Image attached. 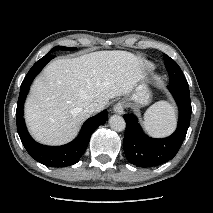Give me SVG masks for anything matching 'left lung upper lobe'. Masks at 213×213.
I'll return each instance as SVG.
<instances>
[{"mask_svg": "<svg viewBox=\"0 0 213 213\" xmlns=\"http://www.w3.org/2000/svg\"><path fill=\"white\" fill-rule=\"evenodd\" d=\"M163 58L166 69L169 73L170 85L183 89H189L188 83L178 64L166 54H163Z\"/></svg>", "mask_w": 213, "mask_h": 213, "instance_id": "5c2ea615", "label": "left lung upper lobe"}]
</instances>
